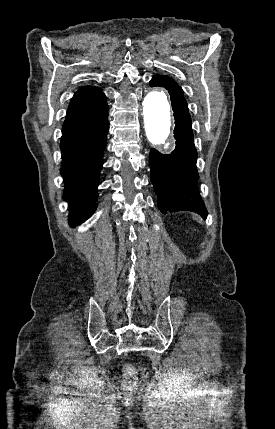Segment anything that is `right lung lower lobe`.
Segmentation results:
<instances>
[{"instance_id":"1","label":"right lung lower lobe","mask_w":275,"mask_h":429,"mask_svg":"<svg viewBox=\"0 0 275 429\" xmlns=\"http://www.w3.org/2000/svg\"><path fill=\"white\" fill-rule=\"evenodd\" d=\"M107 111L108 108L92 119L63 126L60 171L71 226L87 220L97 207V186L109 129Z\"/></svg>"}]
</instances>
